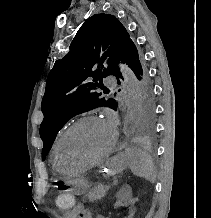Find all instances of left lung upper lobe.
I'll return each instance as SVG.
<instances>
[{
	"mask_svg": "<svg viewBox=\"0 0 211 218\" xmlns=\"http://www.w3.org/2000/svg\"><path fill=\"white\" fill-rule=\"evenodd\" d=\"M120 61L142 81L141 121L146 129L152 130L155 107L144 56L115 16L95 14L83 23L70 44L69 53L55 62L48 75L41 105L44 114L40 127L42 160L70 118L99 106L117 109L113 98H99L102 93L96 90L109 92L102 83V78L107 76H115L118 84L121 83L124 78L118 67Z\"/></svg>",
	"mask_w": 211,
	"mask_h": 218,
	"instance_id": "obj_1",
	"label": "left lung upper lobe"
}]
</instances>
